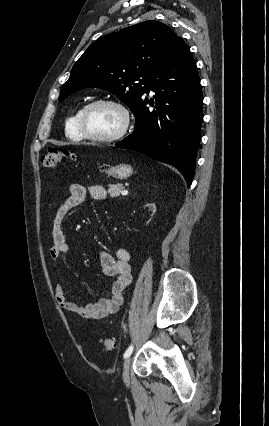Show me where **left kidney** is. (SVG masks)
Segmentation results:
<instances>
[{
	"instance_id": "obj_1",
	"label": "left kidney",
	"mask_w": 269,
	"mask_h": 426,
	"mask_svg": "<svg viewBox=\"0 0 269 426\" xmlns=\"http://www.w3.org/2000/svg\"><path fill=\"white\" fill-rule=\"evenodd\" d=\"M145 207H147L149 209V211L152 213L151 216H147V222H146V224H147V223H149V221H152V216L156 212V206H155L154 203H149V204H146Z\"/></svg>"
}]
</instances>
